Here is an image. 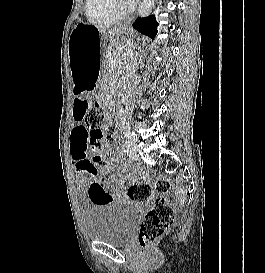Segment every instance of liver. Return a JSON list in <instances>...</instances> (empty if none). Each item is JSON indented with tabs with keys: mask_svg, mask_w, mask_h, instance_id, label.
I'll return each instance as SVG.
<instances>
[{
	"mask_svg": "<svg viewBox=\"0 0 265 273\" xmlns=\"http://www.w3.org/2000/svg\"><path fill=\"white\" fill-rule=\"evenodd\" d=\"M96 28L100 29L101 31H110L112 33L118 32L123 26L118 25L115 26L114 28H111L109 25H95Z\"/></svg>",
	"mask_w": 265,
	"mask_h": 273,
	"instance_id": "6515ba94",
	"label": "liver"
}]
</instances>
